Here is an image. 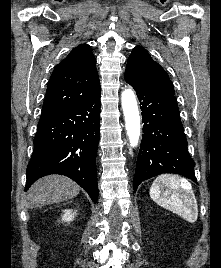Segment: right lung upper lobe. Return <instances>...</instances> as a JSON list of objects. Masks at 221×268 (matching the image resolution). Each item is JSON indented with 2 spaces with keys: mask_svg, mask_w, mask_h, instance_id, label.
Wrapping results in <instances>:
<instances>
[{
  "mask_svg": "<svg viewBox=\"0 0 221 268\" xmlns=\"http://www.w3.org/2000/svg\"><path fill=\"white\" fill-rule=\"evenodd\" d=\"M100 93L95 57L87 44L74 48L54 69L42 111L68 107Z\"/></svg>",
  "mask_w": 221,
  "mask_h": 268,
  "instance_id": "obj_1",
  "label": "right lung upper lobe"
}]
</instances>
